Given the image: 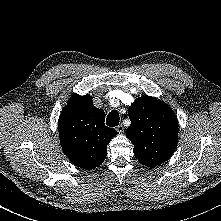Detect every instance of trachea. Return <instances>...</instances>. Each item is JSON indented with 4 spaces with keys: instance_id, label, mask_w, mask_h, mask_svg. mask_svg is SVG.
<instances>
[{
    "instance_id": "trachea-1",
    "label": "trachea",
    "mask_w": 221,
    "mask_h": 221,
    "mask_svg": "<svg viewBox=\"0 0 221 221\" xmlns=\"http://www.w3.org/2000/svg\"><path fill=\"white\" fill-rule=\"evenodd\" d=\"M119 114L116 110L111 111L106 119V124L110 127H115L119 125Z\"/></svg>"
}]
</instances>
